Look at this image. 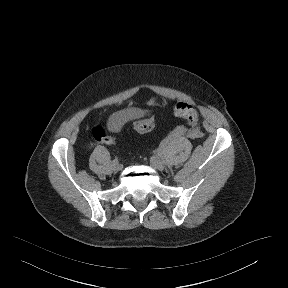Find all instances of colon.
Listing matches in <instances>:
<instances>
[{
	"label": "colon",
	"instance_id": "1",
	"mask_svg": "<svg viewBox=\"0 0 288 288\" xmlns=\"http://www.w3.org/2000/svg\"><path fill=\"white\" fill-rule=\"evenodd\" d=\"M174 113L177 117L184 119L190 127H195L199 121L197 109L187 103H177L174 106ZM153 125L154 119L148 118L146 120L135 122L133 128L137 132L144 133L150 131ZM92 135L95 140L101 144L113 145L115 143V138L101 126L94 127L92 129Z\"/></svg>",
	"mask_w": 288,
	"mask_h": 288
}]
</instances>
